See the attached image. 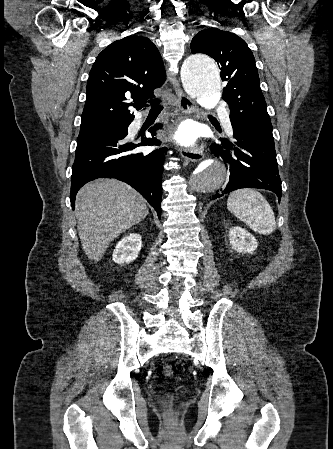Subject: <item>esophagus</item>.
<instances>
[{"label":"esophagus","instance_id":"34e87169","mask_svg":"<svg viewBox=\"0 0 333 449\" xmlns=\"http://www.w3.org/2000/svg\"><path fill=\"white\" fill-rule=\"evenodd\" d=\"M168 79L175 90L180 113L184 117L189 116L190 114H195L196 107L194 102L182 91V89L179 87V83L176 80V78L169 73ZM180 155L182 158L187 159L191 162H197L201 160L204 156L203 151L199 148L197 149L182 148L180 150Z\"/></svg>","mask_w":333,"mask_h":449}]
</instances>
